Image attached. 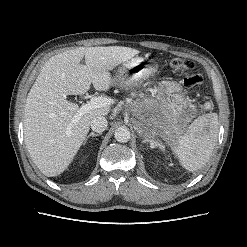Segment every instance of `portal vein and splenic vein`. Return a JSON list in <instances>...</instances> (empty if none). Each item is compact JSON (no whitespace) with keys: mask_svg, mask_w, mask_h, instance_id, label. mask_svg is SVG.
Returning a JSON list of instances; mask_svg holds the SVG:
<instances>
[{"mask_svg":"<svg viewBox=\"0 0 247 247\" xmlns=\"http://www.w3.org/2000/svg\"><path fill=\"white\" fill-rule=\"evenodd\" d=\"M111 103V99L106 97H91L90 101L87 104L80 107L78 113L75 116V119H79L83 114L91 109L107 107L110 106Z\"/></svg>","mask_w":247,"mask_h":247,"instance_id":"portal-vein-and-splenic-vein-1","label":"portal vein and splenic vein"}]
</instances>
